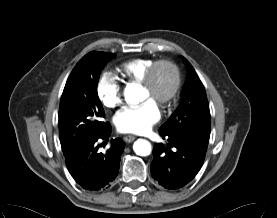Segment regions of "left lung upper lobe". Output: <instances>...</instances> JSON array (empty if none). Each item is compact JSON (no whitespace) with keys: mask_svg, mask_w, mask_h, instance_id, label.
Returning a JSON list of instances; mask_svg holds the SVG:
<instances>
[{"mask_svg":"<svg viewBox=\"0 0 277 218\" xmlns=\"http://www.w3.org/2000/svg\"><path fill=\"white\" fill-rule=\"evenodd\" d=\"M183 60L191 72L188 85L184 89L180 105L159 131L182 130L210 133L211 117L205 88L188 60L184 57Z\"/></svg>","mask_w":277,"mask_h":218,"instance_id":"left-lung-upper-lobe-1","label":"left lung upper lobe"}]
</instances>
